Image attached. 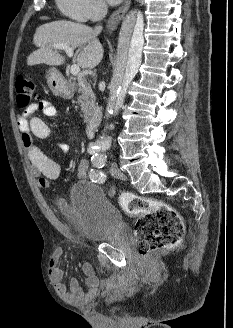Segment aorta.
Returning <instances> with one entry per match:
<instances>
[{
	"label": "aorta",
	"instance_id": "762f6f07",
	"mask_svg": "<svg viewBox=\"0 0 233 328\" xmlns=\"http://www.w3.org/2000/svg\"><path fill=\"white\" fill-rule=\"evenodd\" d=\"M144 21L141 13L131 11L123 20L118 38L116 67L109 85L105 115L117 114L123 106L127 89L141 64ZM110 140L99 137L97 145L108 148Z\"/></svg>",
	"mask_w": 233,
	"mask_h": 328
}]
</instances>
